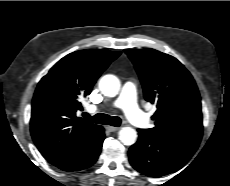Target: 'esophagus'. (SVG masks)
Returning a JSON list of instances; mask_svg holds the SVG:
<instances>
[{"mask_svg": "<svg viewBox=\"0 0 230 186\" xmlns=\"http://www.w3.org/2000/svg\"><path fill=\"white\" fill-rule=\"evenodd\" d=\"M107 129L110 132H116L120 129V127L108 126Z\"/></svg>", "mask_w": 230, "mask_h": 186, "instance_id": "34e87169", "label": "esophagus"}]
</instances>
